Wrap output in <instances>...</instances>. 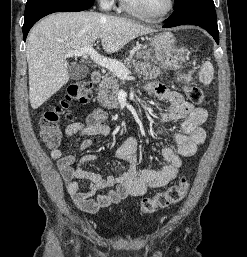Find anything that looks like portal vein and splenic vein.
Returning a JSON list of instances; mask_svg holds the SVG:
<instances>
[{
    "label": "portal vein and splenic vein",
    "mask_w": 247,
    "mask_h": 257,
    "mask_svg": "<svg viewBox=\"0 0 247 257\" xmlns=\"http://www.w3.org/2000/svg\"><path fill=\"white\" fill-rule=\"evenodd\" d=\"M69 57L72 56H82L89 55L90 58L101 67L109 69L113 72L118 78L122 80L128 79L131 72L119 61L109 59L99 55L92 47V45L85 46L78 50H69L67 51Z\"/></svg>",
    "instance_id": "obj_1"
}]
</instances>
